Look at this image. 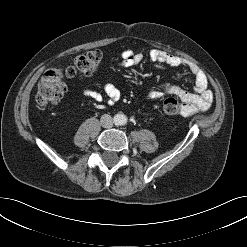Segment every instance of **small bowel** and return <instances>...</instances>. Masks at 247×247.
Returning <instances> with one entry per match:
<instances>
[{
  "label": "small bowel",
  "instance_id": "obj_1",
  "mask_svg": "<svg viewBox=\"0 0 247 247\" xmlns=\"http://www.w3.org/2000/svg\"><path fill=\"white\" fill-rule=\"evenodd\" d=\"M149 58L157 67H184L187 68L194 79V92H187L180 87L165 83L158 90L151 92V97L160 98L165 94L178 97L182 102L181 115L192 116L198 112L206 111L212 103L213 94L208 89V78L205 72L197 65L159 49H152L149 52ZM144 59L142 53L131 50L124 51L122 54V63L124 67H132L140 64ZM102 92L111 100H118L120 97L119 89L113 84L106 83L102 87ZM84 95L94 101H101L102 93L95 90H85Z\"/></svg>",
  "mask_w": 247,
  "mask_h": 247
}]
</instances>
